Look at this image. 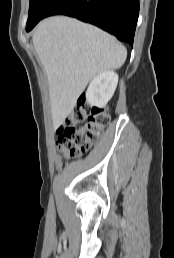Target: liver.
I'll return each mask as SVG.
<instances>
[{"label": "liver", "mask_w": 174, "mask_h": 258, "mask_svg": "<svg viewBox=\"0 0 174 258\" xmlns=\"http://www.w3.org/2000/svg\"><path fill=\"white\" fill-rule=\"evenodd\" d=\"M32 40L48 78L54 127L72 112L93 77L119 69L127 57L115 37L65 16L41 21Z\"/></svg>", "instance_id": "1"}]
</instances>
